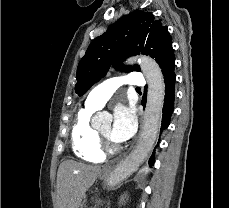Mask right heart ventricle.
I'll use <instances>...</instances> for the list:
<instances>
[{
    "mask_svg": "<svg viewBox=\"0 0 229 208\" xmlns=\"http://www.w3.org/2000/svg\"><path fill=\"white\" fill-rule=\"evenodd\" d=\"M95 110L86 106L78 111L71 128L70 143L74 156L83 162H98L103 158L98 147L101 138L90 123Z\"/></svg>",
    "mask_w": 229,
    "mask_h": 208,
    "instance_id": "obj_1",
    "label": "right heart ventricle"
}]
</instances>
